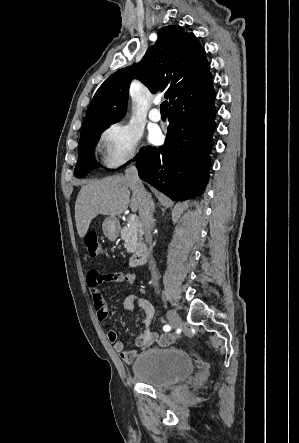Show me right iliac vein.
<instances>
[{
	"label": "right iliac vein",
	"instance_id": "1",
	"mask_svg": "<svg viewBox=\"0 0 299 443\" xmlns=\"http://www.w3.org/2000/svg\"><path fill=\"white\" fill-rule=\"evenodd\" d=\"M166 315L172 327L178 328L183 324L182 319L175 311L168 310Z\"/></svg>",
	"mask_w": 299,
	"mask_h": 443
}]
</instances>
